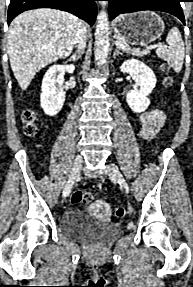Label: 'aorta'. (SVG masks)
I'll return each mask as SVG.
<instances>
[{"instance_id": "762f6f07", "label": "aorta", "mask_w": 193, "mask_h": 287, "mask_svg": "<svg viewBox=\"0 0 193 287\" xmlns=\"http://www.w3.org/2000/svg\"><path fill=\"white\" fill-rule=\"evenodd\" d=\"M109 54V19L106 11L97 15L94 57L98 67L106 63Z\"/></svg>"}]
</instances>
